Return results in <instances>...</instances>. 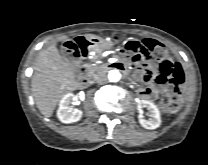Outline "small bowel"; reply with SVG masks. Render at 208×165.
I'll use <instances>...</instances> for the list:
<instances>
[{
    "instance_id": "small-bowel-1",
    "label": "small bowel",
    "mask_w": 208,
    "mask_h": 165,
    "mask_svg": "<svg viewBox=\"0 0 208 165\" xmlns=\"http://www.w3.org/2000/svg\"><path fill=\"white\" fill-rule=\"evenodd\" d=\"M186 68L172 56H163L157 67L146 66L135 71V77L149 85L139 90V95L147 100H156L162 94L172 92L171 87H179L186 77Z\"/></svg>"
}]
</instances>
